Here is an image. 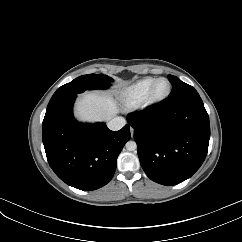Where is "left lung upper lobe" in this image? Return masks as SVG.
Listing matches in <instances>:
<instances>
[{"mask_svg":"<svg viewBox=\"0 0 242 242\" xmlns=\"http://www.w3.org/2000/svg\"><path fill=\"white\" fill-rule=\"evenodd\" d=\"M168 79L172 83V91L168 96L167 101H174L185 97L199 95L192 86L182 82L179 78L168 75Z\"/></svg>","mask_w":242,"mask_h":242,"instance_id":"5c2ea615","label":"left lung upper lobe"}]
</instances>
